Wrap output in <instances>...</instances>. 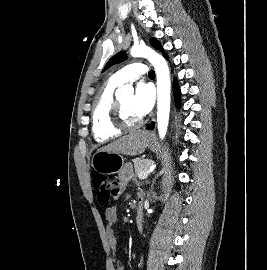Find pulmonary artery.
<instances>
[{
  "label": "pulmonary artery",
  "mask_w": 267,
  "mask_h": 270,
  "mask_svg": "<svg viewBox=\"0 0 267 270\" xmlns=\"http://www.w3.org/2000/svg\"><path fill=\"white\" fill-rule=\"evenodd\" d=\"M147 71L146 65L142 63H133L115 72L112 78L117 83L124 84L137 80L140 76L146 74Z\"/></svg>",
  "instance_id": "pulmonary-artery-1"
}]
</instances>
